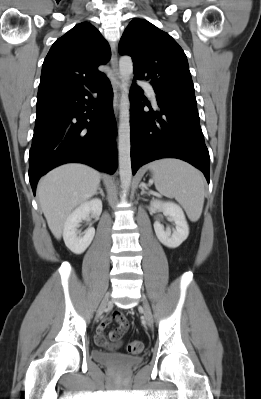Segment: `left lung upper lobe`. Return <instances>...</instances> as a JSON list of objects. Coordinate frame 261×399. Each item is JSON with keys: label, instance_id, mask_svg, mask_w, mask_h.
Masks as SVG:
<instances>
[{"label": "left lung upper lobe", "instance_id": "5c2ea615", "mask_svg": "<svg viewBox=\"0 0 261 399\" xmlns=\"http://www.w3.org/2000/svg\"><path fill=\"white\" fill-rule=\"evenodd\" d=\"M119 52L132 57L135 78L149 80L157 96L196 100L184 51L150 22L132 20L121 37Z\"/></svg>", "mask_w": 261, "mask_h": 399}]
</instances>
